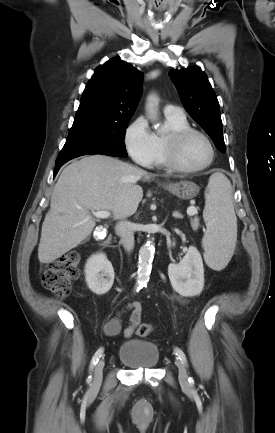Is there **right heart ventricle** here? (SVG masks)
Instances as JSON below:
<instances>
[{
	"label": "right heart ventricle",
	"instance_id": "obj_1",
	"mask_svg": "<svg viewBox=\"0 0 275 433\" xmlns=\"http://www.w3.org/2000/svg\"><path fill=\"white\" fill-rule=\"evenodd\" d=\"M165 123L168 127L166 134L156 133L154 134L156 143V155L154 158L153 165L159 168L168 167L165 158V138L166 136L174 131H179L185 128H189V123L186 117H173L165 115Z\"/></svg>",
	"mask_w": 275,
	"mask_h": 433
}]
</instances>
